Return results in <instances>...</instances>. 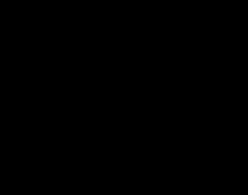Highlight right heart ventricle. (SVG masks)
<instances>
[{
    "mask_svg": "<svg viewBox=\"0 0 248 195\" xmlns=\"http://www.w3.org/2000/svg\"><path fill=\"white\" fill-rule=\"evenodd\" d=\"M160 42V39L157 38H152V39H147L144 40L140 43L138 48L134 50L130 55L128 54V57L123 61V66L127 70L131 68V62H137L147 56V54L155 48ZM132 58V59H131ZM132 60V61H131Z\"/></svg>",
    "mask_w": 248,
    "mask_h": 195,
    "instance_id": "obj_1",
    "label": "right heart ventricle"
}]
</instances>
